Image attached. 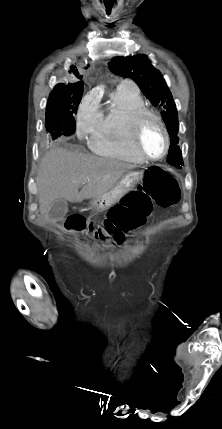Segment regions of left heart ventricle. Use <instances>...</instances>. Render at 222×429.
<instances>
[{
  "label": "left heart ventricle",
  "mask_w": 222,
  "mask_h": 429,
  "mask_svg": "<svg viewBox=\"0 0 222 429\" xmlns=\"http://www.w3.org/2000/svg\"><path fill=\"white\" fill-rule=\"evenodd\" d=\"M140 142L143 150L152 157L160 156L165 149V139L159 124L151 117L145 118Z\"/></svg>",
  "instance_id": "obj_1"
}]
</instances>
